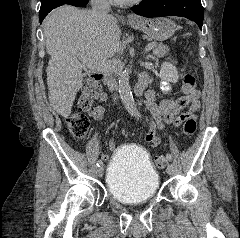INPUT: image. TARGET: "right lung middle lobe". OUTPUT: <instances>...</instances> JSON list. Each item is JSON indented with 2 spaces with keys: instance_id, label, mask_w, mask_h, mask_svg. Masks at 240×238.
<instances>
[{
  "instance_id": "dd1d6c3e",
  "label": "right lung middle lobe",
  "mask_w": 240,
  "mask_h": 238,
  "mask_svg": "<svg viewBox=\"0 0 240 238\" xmlns=\"http://www.w3.org/2000/svg\"><path fill=\"white\" fill-rule=\"evenodd\" d=\"M70 0H41L39 16L46 15L60 3H68Z\"/></svg>"
}]
</instances>
